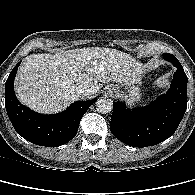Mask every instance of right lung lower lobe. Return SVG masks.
I'll use <instances>...</instances> for the list:
<instances>
[{
  "instance_id": "1",
  "label": "right lung lower lobe",
  "mask_w": 195,
  "mask_h": 195,
  "mask_svg": "<svg viewBox=\"0 0 195 195\" xmlns=\"http://www.w3.org/2000/svg\"><path fill=\"white\" fill-rule=\"evenodd\" d=\"M19 65L20 62L5 83V107L14 129L24 139L40 146L58 147L69 142L75 137L81 118L97 99L74 102L59 114H38L15 96L14 78Z\"/></svg>"
}]
</instances>
